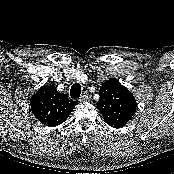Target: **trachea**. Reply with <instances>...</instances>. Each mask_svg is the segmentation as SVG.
<instances>
[{
    "label": "trachea",
    "instance_id": "1",
    "mask_svg": "<svg viewBox=\"0 0 174 174\" xmlns=\"http://www.w3.org/2000/svg\"><path fill=\"white\" fill-rule=\"evenodd\" d=\"M81 95V85L79 83H75L71 86L70 96L72 98H79Z\"/></svg>",
    "mask_w": 174,
    "mask_h": 174
}]
</instances>
